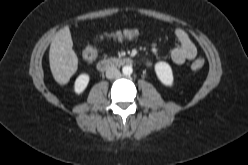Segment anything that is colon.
<instances>
[{
  "instance_id": "1",
  "label": "colon",
  "mask_w": 248,
  "mask_h": 165,
  "mask_svg": "<svg viewBox=\"0 0 248 165\" xmlns=\"http://www.w3.org/2000/svg\"><path fill=\"white\" fill-rule=\"evenodd\" d=\"M128 35L129 33L127 32H118V33L113 34L112 36L126 37ZM105 36H108V35L106 34ZM82 56L86 62H93L97 58V51L93 46H87L84 49ZM203 66H204V61L202 59H196L192 63V69L195 71L201 70Z\"/></svg>"
}]
</instances>
